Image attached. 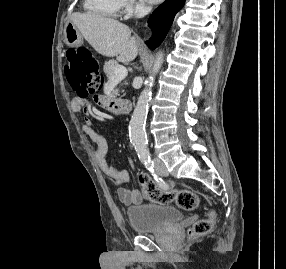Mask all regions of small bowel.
Returning <instances> with one entry per match:
<instances>
[{
  "label": "small bowel",
  "mask_w": 286,
  "mask_h": 269,
  "mask_svg": "<svg viewBox=\"0 0 286 269\" xmlns=\"http://www.w3.org/2000/svg\"><path fill=\"white\" fill-rule=\"evenodd\" d=\"M94 99H108V94H94ZM97 106H109V101H97ZM71 108L76 113L83 114V132L86 136L96 144L94 153L95 161L102 173L116 186L117 196L123 203H137L140 201L139 193L135 189L126 188L125 185L129 182L130 175L126 170H120L110 165L107 161L108 144L105 137L96 131L92 125V108L86 102V95L75 97L71 103ZM108 116L111 120H116L115 111H108ZM129 165L133 167V162L130 158L127 159Z\"/></svg>",
  "instance_id": "small-bowel-1"
}]
</instances>
